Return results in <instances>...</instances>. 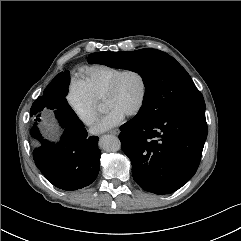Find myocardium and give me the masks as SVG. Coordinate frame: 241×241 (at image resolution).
Here are the masks:
<instances>
[{"label":"myocardium","instance_id":"1","mask_svg":"<svg viewBox=\"0 0 241 241\" xmlns=\"http://www.w3.org/2000/svg\"><path fill=\"white\" fill-rule=\"evenodd\" d=\"M129 73L136 74L139 77L142 85L139 101L137 102L136 106L129 113L126 114L127 116H135L143 109L147 99V94H148V82H147L146 76L140 70L136 68H127V69H122L119 73H117L107 85L103 94V100L111 96L115 92L122 77Z\"/></svg>","mask_w":241,"mask_h":241}]
</instances>
